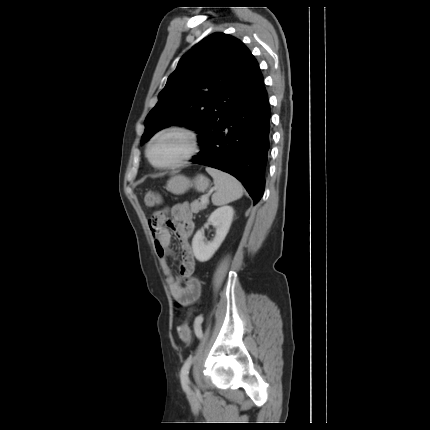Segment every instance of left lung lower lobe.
<instances>
[{
	"label": "left lung lower lobe",
	"mask_w": 430,
	"mask_h": 430,
	"mask_svg": "<svg viewBox=\"0 0 430 430\" xmlns=\"http://www.w3.org/2000/svg\"><path fill=\"white\" fill-rule=\"evenodd\" d=\"M255 88L234 102L214 127L198 136L202 146L192 161L225 171L242 182L255 205L265 187L270 148V106L260 70Z\"/></svg>",
	"instance_id": "0a47b994"
}]
</instances>
